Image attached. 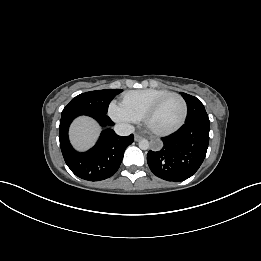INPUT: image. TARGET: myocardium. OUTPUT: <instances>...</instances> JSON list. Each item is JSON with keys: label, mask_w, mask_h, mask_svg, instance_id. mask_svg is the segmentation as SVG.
<instances>
[{"label": "myocardium", "mask_w": 261, "mask_h": 261, "mask_svg": "<svg viewBox=\"0 0 261 261\" xmlns=\"http://www.w3.org/2000/svg\"><path fill=\"white\" fill-rule=\"evenodd\" d=\"M171 97H176L181 101L182 104V116L179 120V122L172 128L167 129V130H157L154 129L150 126L149 121L151 117L154 115V113L158 110V108L169 98ZM187 113H188V106L186 103V100L183 98L182 95L174 92H170L159 99H157L144 113L142 117V121L144 123V126L148 131H150L152 134L157 135V136H167L170 134L175 133L178 131L185 123L186 118H187Z\"/></svg>", "instance_id": "f54148a6"}]
</instances>
